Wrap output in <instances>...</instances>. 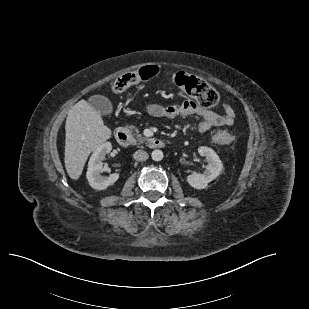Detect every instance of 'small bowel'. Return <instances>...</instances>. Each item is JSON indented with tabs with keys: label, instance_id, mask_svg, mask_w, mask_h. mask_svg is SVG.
Instances as JSON below:
<instances>
[{
	"label": "small bowel",
	"instance_id": "small-bowel-1",
	"mask_svg": "<svg viewBox=\"0 0 309 309\" xmlns=\"http://www.w3.org/2000/svg\"><path fill=\"white\" fill-rule=\"evenodd\" d=\"M145 111L153 117L175 119L178 116H196L200 118L197 129L205 133L214 127L231 126L234 124L236 114L228 104L222 105V113L199 107L195 102L187 100L179 104L163 106L148 104Z\"/></svg>",
	"mask_w": 309,
	"mask_h": 309
}]
</instances>
